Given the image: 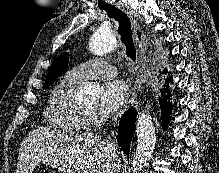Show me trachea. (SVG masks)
I'll return each mask as SVG.
<instances>
[{"label": "trachea", "instance_id": "trachea-1", "mask_svg": "<svg viewBox=\"0 0 219 173\" xmlns=\"http://www.w3.org/2000/svg\"><path fill=\"white\" fill-rule=\"evenodd\" d=\"M100 9H104L110 18H114L118 22V33L121 36L122 43L125 45L126 55L135 61L136 48L133 42L131 22L128 16L113 5L103 6Z\"/></svg>", "mask_w": 219, "mask_h": 173}]
</instances>
